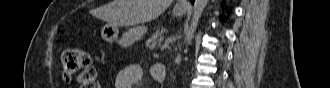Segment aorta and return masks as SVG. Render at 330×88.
Here are the masks:
<instances>
[{"mask_svg": "<svg viewBox=\"0 0 330 88\" xmlns=\"http://www.w3.org/2000/svg\"><path fill=\"white\" fill-rule=\"evenodd\" d=\"M208 3V0H195L193 5L192 19L189 28L186 31V44L189 45L194 36V32L198 26L199 19ZM188 48L184 50L187 53Z\"/></svg>", "mask_w": 330, "mask_h": 88, "instance_id": "762f6f07", "label": "aorta"}]
</instances>
